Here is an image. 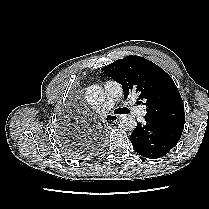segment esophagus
<instances>
[{
	"mask_svg": "<svg viewBox=\"0 0 209 209\" xmlns=\"http://www.w3.org/2000/svg\"><path fill=\"white\" fill-rule=\"evenodd\" d=\"M108 119L106 120L108 123H116L118 121V119L120 118V116L118 115H114V114H109Z\"/></svg>",
	"mask_w": 209,
	"mask_h": 209,
	"instance_id": "34e87169",
	"label": "esophagus"
}]
</instances>
